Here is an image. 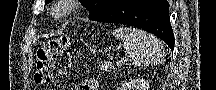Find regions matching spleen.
<instances>
[{
  "mask_svg": "<svg viewBox=\"0 0 216 90\" xmlns=\"http://www.w3.org/2000/svg\"><path fill=\"white\" fill-rule=\"evenodd\" d=\"M116 38L122 40L126 50V58L133 66H147L154 64L162 56L161 42L138 28H117L114 30Z\"/></svg>",
  "mask_w": 216,
  "mask_h": 90,
  "instance_id": "obj_1",
  "label": "spleen"
}]
</instances>
